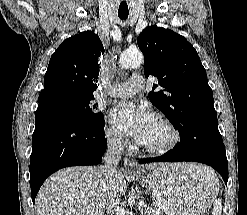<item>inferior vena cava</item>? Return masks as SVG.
Wrapping results in <instances>:
<instances>
[{
    "mask_svg": "<svg viewBox=\"0 0 247 215\" xmlns=\"http://www.w3.org/2000/svg\"><path fill=\"white\" fill-rule=\"evenodd\" d=\"M123 145L118 138H109L107 141V149L104 154V165L102 168L103 178L110 183H115L118 180L119 171L118 164L121 160Z\"/></svg>",
    "mask_w": 247,
    "mask_h": 215,
    "instance_id": "obj_1",
    "label": "inferior vena cava"
}]
</instances>
